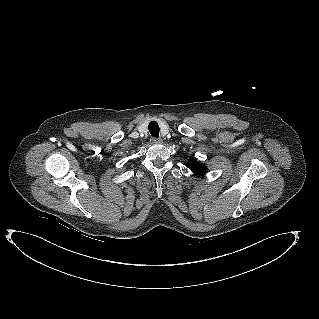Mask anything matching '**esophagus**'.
<instances>
[{
  "label": "esophagus",
  "instance_id": "34e87169",
  "mask_svg": "<svg viewBox=\"0 0 319 319\" xmlns=\"http://www.w3.org/2000/svg\"><path fill=\"white\" fill-rule=\"evenodd\" d=\"M152 141H153V143H161L162 139L154 137V138H152Z\"/></svg>",
  "mask_w": 319,
  "mask_h": 319
}]
</instances>
